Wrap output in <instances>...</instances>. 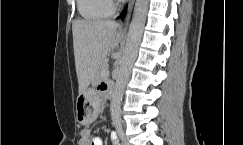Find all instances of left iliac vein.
Segmentation results:
<instances>
[{
	"label": "left iliac vein",
	"mask_w": 243,
	"mask_h": 145,
	"mask_svg": "<svg viewBox=\"0 0 243 145\" xmlns=\"http://www.w3.org/2000/svg\"><path fill=\"white\" fill-rule=\"evenodd\" d=\"M123 145H130L127 140H124Z\"/></svg>",
	"instance_id": "obj_1"
}]
</instances>
